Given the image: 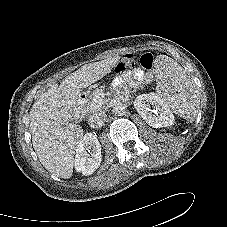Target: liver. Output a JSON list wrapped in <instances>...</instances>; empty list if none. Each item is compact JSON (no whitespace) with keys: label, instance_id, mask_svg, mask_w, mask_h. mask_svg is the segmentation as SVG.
I'll return each mask as SVG.
<instances>
[{"label":"liver","instance_id":"obj_1","mask_svg":"<svg viewBox=\"0 0 227 227\" xmlns=\"http://www.w3.org/2000/svg\"><path fill=\"white\" fill-rule=\"evenodd\" d=\"M120 56L85 64L58 86L52 84L32 106L30 132L33 148L44 168L68 179L73 173L74 155L84 131L70 123L81 91L110 73Z\"/></svg>","mask_w":227,"mask_h":227}]
</instances>
